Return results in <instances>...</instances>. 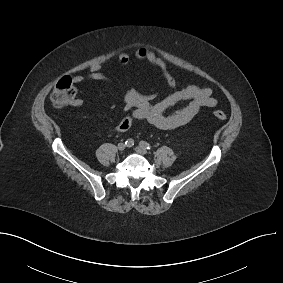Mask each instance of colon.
<instances>
[{"mask_svg": "<svg viewBox=\"0 0 283 283\" xmlns=\"http://www.w3.org/2000/svg\"><path fill=\"white\" fill-rule=\"evenodd\" d=\"M76 89L73 81L69 77H64L57 82L51 93V101L57 108H62L68 105L75 97ZM216 119L224 121L227 115L222 110H215L213 112Z\"/></svg>", "mask_w": 283, "mask_h": 283, "instance_id": "1", "label": "colon"}]
</instances>
